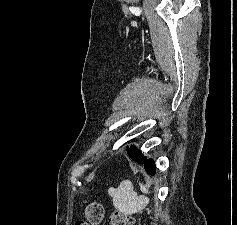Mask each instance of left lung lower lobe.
I'll use <instances>...</instances> for the list:
<instances>
[{
    "mask_svg": "<svg viewBox=\"0 0 237 225\" xmlns=\"http://www.w3.org/2000/svg\"><path fill=\"white\" fill-rule=\"evenodd\" d=\"M127 154L130 156L132 160L136 161L139 164H143L145 171L149 175H155L156 166L153 159H148L141 153L140 150H138L136 147L133 146H131L130 148L127 147Z\"/></svg>",
    "mask_w": 237,
    "mask_h": 225,
    "instance_id": "left-lung-lower-lobe-1",
    "label": "left lung lower lobe"
}]
</instances>
